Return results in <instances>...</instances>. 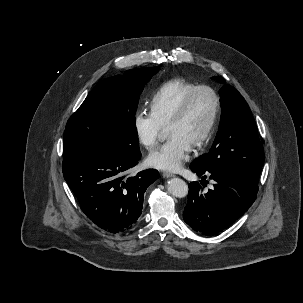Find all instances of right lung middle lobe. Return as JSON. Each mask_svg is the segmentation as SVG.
I'll return each instance as SVG.
<instances>
[{
    "label": "right lung middle lobe",
    "instance_id": "1",
    "mask_svg": "<svg viewBox=\"0 0 303 303\" xmlns=\"http://www.w3.org/2000/svg\"><path fill=\"white\" fill-rule=\"evenodd\" d=\"M157 72L158 67L133 69L99 82L67 122L63 155L102 142L125 156H141L135 113L144 85Z\"/></svg>",
    "mask_w": 303,
    "mask_h": 303
}]
</instances>
